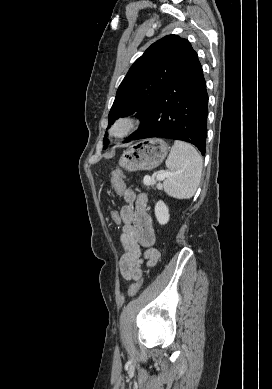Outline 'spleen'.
Listing matches in <instances>:
<instances>
[{
	"label": "spleen",
	"mask_w": 272,
	"mask_h": 389,
	"mask_svg": "<svg viewBox=\"0 0 272 389\" xmlns=\"http://www.w3.org/2000/svg\"><path fill=\"white\" fill-rule=\"evenodd\" d=\"M202 164V158L193 146L175 141L166 160L171 175L163 182L164 190L178 199L191 198L200 182Z\"/></svg>",
	"instance_id": "3e777b00"
}]
</instances>
